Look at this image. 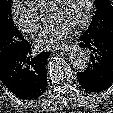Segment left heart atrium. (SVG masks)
<instances>
[{"label":"left heart atrium","instance_id":"obj_1","mask_svg":"<svg viewBox=\"0 0 113 113\" xmlns=\"http://www.w3.org/2000/svg\"><path fill=\"white\" fill-rule=\"evenodd\" d=\"M74 33V27L55 21L45 26L35 38V46L39 50H52L59 48Z\"/></svg>","mask_w":113,"mask_h":113}]
</instances>
